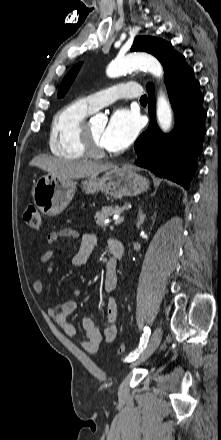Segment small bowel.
Wrapping results in <instances>:
<instances>
[{"instance_id": "obj_1", "label": "small bowel", "mask_w": 221, "mask_h": 440, "mask_svg": "<svg viewBox=\"0 0 221 440\" xmlns=\"http://www.w3.org/2000/svg\"><path fill=\"white\" fill-rule=\"evenodd\" d=\"M62 238L79 239V248L76 254L73 256L72 263L75 266H84L96 246L97 239L95 235L92 233H86L80 237V234L76 229L65 227L50 232L47 236V241L50 244H53ZM56 259L57 252L54 249H48L41 255L40 263L45 265V275L49 276L53 272ZM112 261V259H109L107 263ZM117 283L118 277L116 270L110 271L106 269L103 289L105 294L108 296V300L106 308V325L103 332H101L96 326L92 317L85 316L82 319V328L85 333V339H78V343L88 352H96L102 343H110L116 338L118 306L113 293L117 287ZM33 288L37 293H42L44 291V281L41 279L35 280L33 283ZM73 294L74 296H79L81 294V290L75 289ZM76 309L77 302L75 300L58 302L48 308L49 316L53 318L56 324L70 338L77 337V330L69 319Z\"/></svg>"}]
</instances>
